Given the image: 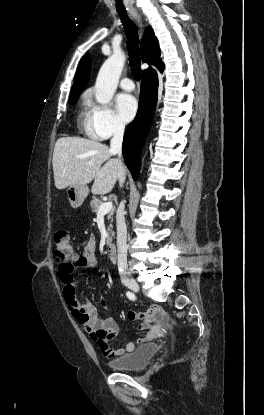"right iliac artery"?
Masks as SVG:
<instances>
[{"instance_id":"1","label":"right iliac artery","mask_w":264,"mask_h":415,"mask_svg":"<svg viewBox=\"0 0 264 415\" xmlns=\"http://www.w3.org/2000/svg\"><path fill=\"white\" fill-rule=\"evenodd\" d=\"M126 296H127L130 300H135V299H136V297H135L134 293H132V292H130V291H127V292H126Z\"/></svg>"}]
</instances>
